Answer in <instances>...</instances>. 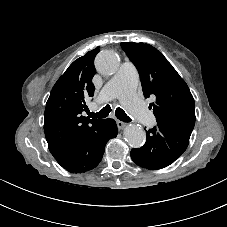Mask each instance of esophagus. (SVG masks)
Returning <instances> with one entry per match:
<instances>
[{
	"mask_svg": "<svg viewBox=\"0 0 227 227\" xmlns=\"http://www.w3.org/2000/svg\"><path fill=\"white\" fill-rule=\"evenodd\" d=\"M117 127L119 130H122L125 126H126V123L120 121V120H117Z\"/></svg>",
	"mask_w": 227,
	"mask_h": 227,
	"instance_id": "34e87169",
	"label": "esophagus"
}]
</instances>
